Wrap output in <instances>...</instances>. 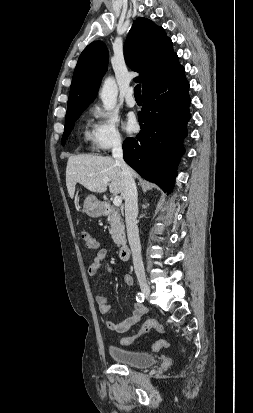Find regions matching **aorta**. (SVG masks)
<instances>
[{
	"label": "aorta",
	"mask_w": 253,
	"mask_h": 413,
	"mask_svg": "<svg viewBox=\"0 0 253 413\" xmlns=\"http://www.w3.org/2000/svg\"><path fill=\"white\" fill-rule=\"evenodd\" d=\"M117 96L118 88L115 80L112 77L106 78L100 92V98L105 110H111L115 107Z\"/></svg>",
	"instance_id": "1"
}]
</instances>
